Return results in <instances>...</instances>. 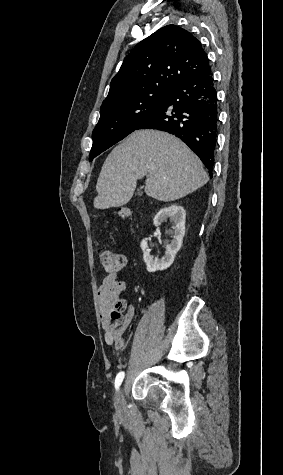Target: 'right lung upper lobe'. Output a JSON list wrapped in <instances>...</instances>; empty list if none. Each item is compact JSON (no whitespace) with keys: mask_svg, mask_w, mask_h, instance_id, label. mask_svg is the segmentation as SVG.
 Instances as JSON below:
<instances>
[{"mask_svg":"<svg viewBox=\"0 0 283 475\" xmlns=\"http://www.w3.org/2000/svg\"><path fill=\"white\" fill-rule=\"evenodd\" d=\"M209 72V60L199 40L183 28L167 25L124 58L102 106L147 93L169 92L177 84Z\"/></svg>","mask_w":283,"mask_h":475,"instance_id":"cb5924a9","label":"right lung upper lobe"}]
</instances>
